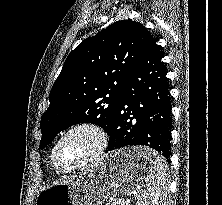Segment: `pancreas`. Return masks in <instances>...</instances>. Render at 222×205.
Here are the masks:
<instances>
[{
  "label": "pancreas",
  "mask_w": 222,
  "mask_h": 205,
  "mask_svg": "<svg viewBox=\"0 0 222 205\" xmlns=\"http://www.w3.org/2000/svg\"><path fill=\"white\" fill-rule=\"evenodd\" d=\"M106 205H125V202L121 199L110 200L106 203Z\"/></svg>",
  "instance_id": "1"
}]
</instances>
